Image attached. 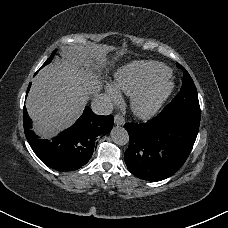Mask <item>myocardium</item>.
I'll return each instance as SVG.
<instances>
[{
    "label": "myocardium",
    "instance_id": "1",
    "mask_svg": "<svg viewBox=\"0 0 228 228\" xmlns=\"http://www.w3.org/2000/svg\"><path fill=\"white\" fill-rule=\"evenodd\" d=\"M170 92V85L160 81L138 92L132 99V109L141 118L151 117L165 101Z\"/></svg>",
    "mask_w": 228,
    "mask_h": 228
}]
</instances>
